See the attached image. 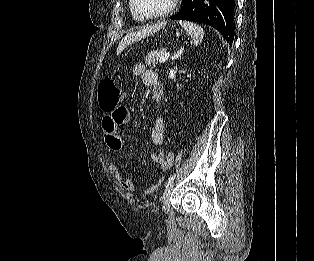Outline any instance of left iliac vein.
Segmentation results:
<instances>
[{
    "mask_svg": "<svg viewBox=\"0 0 314 261\" xmlns=\"http://www.w3.org/2000/svg\"><path fill=\"white\" fill-rule=\"evenodd\" d=\"M173 187H174L173 183L167 185L164 192H163L162 198H161L162 203H163V210L165 212L169 211L170 195H171Z\"/></svg>",
    "mask_w": 314,
    "mask_h": 261,
    "instance_id": "1",
    "label": "left iliac vein"
}]
</instances>
